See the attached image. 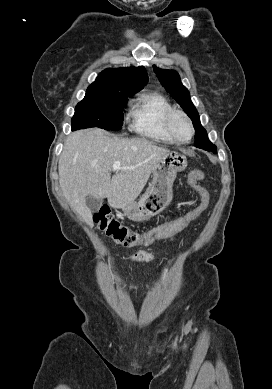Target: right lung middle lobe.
I'll list each match as a JSON object with an SVG mask.
<instances>
[{
	"mask_svg": "<svg viewBox=\"0 0 272 389\" xmlns=\"http://www.w3.org/2000/svg\"><path fill=\"white\" fill-rule=\"evenodd\" d=\"M131 93L88 88L84 99L75 108L72 130L100 127L118 130L123 124V108Z\"/></svg>",
	"mask_w": 272,
	"mask_h": 389,
	"instance_id": "obj_1",
	"label": "right lung middle lobe"
}]
</instances>
